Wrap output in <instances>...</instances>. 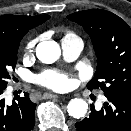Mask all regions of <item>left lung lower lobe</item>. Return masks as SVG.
Segmentation results:
<instances>
[{"label":"left lung lower lobe","instance_id":"obj_1","mask_svg":"<svg viewBox=\"0 0 131 131\" xmlns=\"http://www.w3.org/2000/svg\"><path fill=\"white\" fill-rule=\"evenodd\" d=\"M105 96L104 107H92L89 117L75 124L76 131H131V100Z\"/></svg>","mask_w":131,"mask_h":131}]
</instances>
